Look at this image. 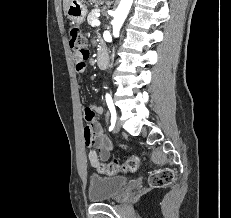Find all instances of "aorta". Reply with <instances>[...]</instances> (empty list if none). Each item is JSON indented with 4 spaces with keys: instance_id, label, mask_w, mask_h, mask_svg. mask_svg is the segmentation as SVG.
Wrapping results in <instances>:
<instances>
[{
    "instance_id": "obj_1",
    "label": "aorta",
    "mask_w": 231,
    "mask_h": 218,
    "mask_svg": "<svg viewBox=\"0 0 231 218\" xmlns=\"http://www.w3.org/2000/svg\"><path fill=\"white\" fill-rule=\"evenodd\" d=\"M133 0H121L112 21L113 35H118L130 11Z\"/></svg>"
}]
</instances>
